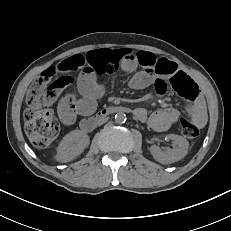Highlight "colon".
I'll list each match as a JSON object with an SVG mask.
<instances>
[{"instance_id":"obj_1","label":"colon","mask_w":231,"mask_h":231,"mask_svg":"<svg viewBox=\"0 0 231 231\" xmlns=\"http://www.w3.org/2000/svg\"><path fill=\"white\" fill-rule=\"evenodd\" d=\"M71 83L73 78L54 65L44 71L29 87L26 94L28 107L24 113V125L26 134L35 147H49L56 139L60 126L49 106ZM168 85L188 100L194 101L200 96L197 84L184 73L174 75L167 81H156L159 93H164ZM180 131L188 139L199 135V127L187 118L181 119Z\"/></svg>"}]
</instances>
